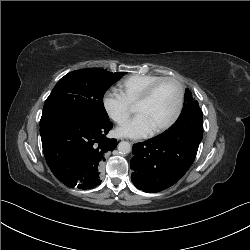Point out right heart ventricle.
Instances as JSON below:
<instances>
[{
  "label": "right heart ventricle",
  "mask_w": 250,
  "mask_h": 250,
  "mask_svg": "<svg viewBox=\"0 0 250 250\" xmlns=\"http://www.w3.org/2000/svg\"><path fill=\"white\" fill-rule=\"evenodd\" d=\"M161 78L163 76L155 74L131 75L119 83V89L126 100L133 105L152 83Z\"/></svg>",
  "instance_id": "1"
}]
</instances>
